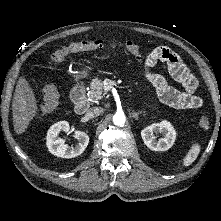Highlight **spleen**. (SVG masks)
<instances>
[{"mask_svg": "<svg viewBox=\"0 0 221 221\" xmlns=\"http://www.w3.org/2000/svg\"><path fill=\"white\" fill-rule=\"evenodd\" d=\"M199 152H200V146L198 144L194 145L184 158L183 161L184 166H189L190 164H192L197 158Z\"/></svg>", "mask_w": 221, "mask_h": 221, "instance_id": "1", "label": "spleen"}]
</instances>
